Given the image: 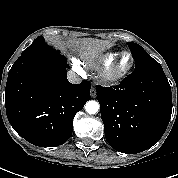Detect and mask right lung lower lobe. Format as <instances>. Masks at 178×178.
<instances>
[{
	"mask_svg": "<svg viewBox=\"0 0 178 178\" xmlns=\"http://www.w3.org/2000/svg\"><path fill=\"white\" fill-rule=\"evenodd\" d=\"M66 57L20 56L11 67L5 88V106L13 129L40 147L64 144L72 135L73 118L91 99L88 81L67 80Z\"/></svg>",
	"mask_w": 178,
	"mask_h": 178,
	"instance_id": "right-lung-lower-lobe-1",
	"label": "right lung lower lobe"
}]
</instances>
